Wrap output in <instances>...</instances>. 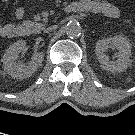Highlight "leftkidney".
I'll return each mask as SVG.
<instances>
[{
  "label": "left kidney",
  "instance_id": "1",
  "mask_svg": "<svg viewBox=\"0 0 135 135\" xmlns=\"http://www.w3.org/2000/svg\"><path fill=\"white\" fill-rule=\"evenodd\" d=\"M116 48L118 53V59L116 61H110L109 57L105 54L108 48ZM132 45L127 37L118 35L113 38L101 39L96 43V56L104 70L110 72H123L130 65Z\"/></svg>",
  "mask_w": 135,
  "mask_h": 135
}]
</instances>
